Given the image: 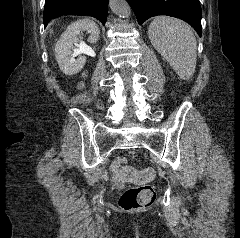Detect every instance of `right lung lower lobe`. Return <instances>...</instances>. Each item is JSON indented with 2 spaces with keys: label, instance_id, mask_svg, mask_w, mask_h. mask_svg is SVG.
I'll list each match as a JSON object with an SVG mask.
<instances>
[{
  "label": "right lung lower lobe",
  "instance_id": "obj_1",
  "mask_svg": "<svg viewBox=\"0 0 240 238\" xmlns=\"http://www.w3.org/2000/svg\"><path fill=\"white\" fill-rule=\"evenodd\" d=\"M108 0H45L43 22L63 15H88L104 25L107 19Z\"/></svg>",
  "mask_w": 240,
  "mask_h": 238
}]
</instances>
